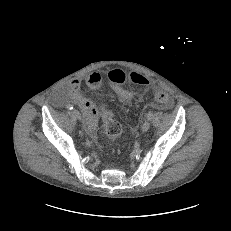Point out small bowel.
Here are the masks:
<instances>
[{"label":"small bowel","mask_w":231,"mask_h":231,"mask_svg":"<svg viewBox=\"0 0 231 231\" xmlns=\"http://www.w3.org/2000/svg\"><path fill=\"white\" fill-rule=\"evenodd\" d=\"M101 83V77L98 73L91 74L87 79V85L91 89H97ZM112 91L123 101H131L136 94L122 86H116L110 83ZM81 81L79 79L71 80L67 86L62 88V96L68 97L83 112L85 117V128L93 139L97 138L96 127L98 123V111L93 102L85 98L81 91Z\"/></svg>","instance_id":"small-bowel-1"}]
</instances>
